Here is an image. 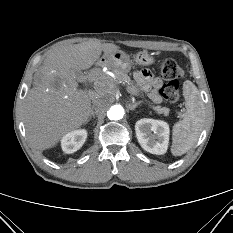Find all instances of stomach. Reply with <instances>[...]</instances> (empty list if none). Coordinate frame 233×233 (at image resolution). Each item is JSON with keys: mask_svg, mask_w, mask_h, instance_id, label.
<instances>
[{"mask_svg": "<svg viewBox=\"0 0 233 233\" xmlns=\"http://www.w3.org/2000/svg\"><path fill=\"white\" fill-rule=\"evenodd\" d=\"M101 61H103V64H106L111 68H115L123 72H129L133 63L140 66H148L154 62V57L144 50L135 54L132 60L127 53L123 51H116L112 54H105Z\"/></svg>", "mask_w": 233, "mask_h": 233, "instance_id": "0dacf381", "label": "stomach"}]
</instances>
